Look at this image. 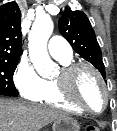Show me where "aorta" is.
<instances>
[{"mask_svg": "<svg viewBox=\"0 0 117 131\" xmlns=\"http://www.w3.org/2000/svg\"><path fill=\"white\" fill-rule=\"evenodd\" d=\"M54 24L50 17H37L29 34V54L38 74L44 78L50 77L56 64L47 51V42L53 32Z\"/></svg>", "mask_w": 117, "mask_h": 131, "instance_id": "aorta-1", "label": "aorta"}]
</instances>
